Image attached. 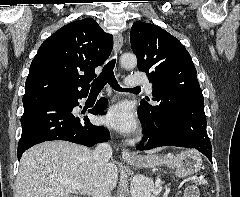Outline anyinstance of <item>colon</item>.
Listing matches in <instances>:
<instances>
[{"label":"colon","instance_id":"5ec220e1","mask_svg":"<svg viewBox=\"0 0 240 197\" xmlns=\"http://www.w3.org/2000/svg\"><path fill=\"white\" fill-rule=\"evenodd\" d=\"M191 180H192L194 186L207 184V180H206L205 176L201 173L194 174L192 176Z\"/></svg>","mask_w":240,"mask_h":197}]
</instances>
